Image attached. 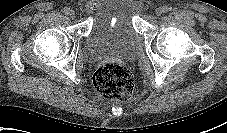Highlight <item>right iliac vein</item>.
<instances>
[{
    "instance_id": "1",
    "label": "right iliac vein",
    "mask_w": 227,
    "mask_h": 133,
    "mask_svg": "<svg viewBox=\"0 0 227 133\" xmlns=\"http://www.w3.org/2000/svg\"><path fill=\"white\" fill-rule=\"evenodd\" d=\"M69 16L73 19L75 17V12L73 10H71L69 12Z\"/></svg>"
}]
</instances>
